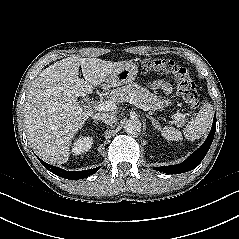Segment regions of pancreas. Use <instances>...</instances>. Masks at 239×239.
<instances>
[{"mask_svg": "<svg viewBox=\"0 0 239 239\" xmlns=\"http://www.w3.org/2000/svg\"><path fill=\"white\" fill-rule=\"evenodd\" d=\"M130 97L135 99L138 103L150 107L151 110L161 109L164 104L170 103L169 100H161L158 96L150 93L146 88L138 84H129L127 86L113 89L110 93L109 100L113 101L115 104H119ZM185 122V115H182L176 125L182 126Z\"/></svg>", "mask_w": 239, "mask_h": 239, "instance_id": "1", "label": "pancreas"}]
</instances>
